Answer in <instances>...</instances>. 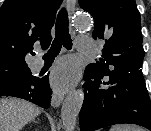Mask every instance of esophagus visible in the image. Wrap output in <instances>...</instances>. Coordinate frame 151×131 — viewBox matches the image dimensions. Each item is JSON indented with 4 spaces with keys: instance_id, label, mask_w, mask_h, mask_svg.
<instances>
[{
    "instance_id": "34e87169",
    "label": "esophagus",
    "mask_w": 151,
    "mask_h": 131,
    "mask_svg": "<svg viewBox=\"0 0 151 131\" xmlns=\"http://www.w3.org/2000/svg\"><path fill=\"white\" fill-rule=\"evenodd\" d=\"M75 5H76V0H67V6H68V11H69L70 16H72L75 11ZM63 99H64L63 93L55 92L52 95L51 105L53 107H58L63 101Z\"/></svg>"
}]
</instances>
